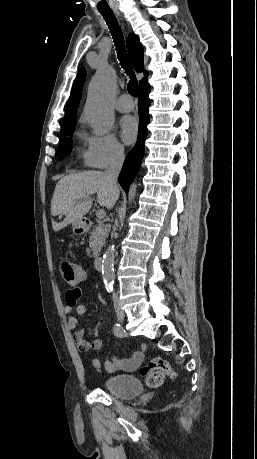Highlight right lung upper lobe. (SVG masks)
I'll return each mask as SVG.
<instances>
[{
	"instance_id": "obj_1",
	"label": "right lung upper lobe",
	"mask_w": 257,
	"mask_h": 459,
	"mask_svg": "<svg viewBox=\"0 0 257 459\" xmlns=\"http://www.w3.org/2000/svg\"><path fill=\"white\" fill-rule=\"evenodd\" d=\"M127 50L129 54L130 61L137 72H143L144 69V57H143V46L139 41V38L136 34L130 33L126 40ZM86 72L82 68L78 72L73 87L72 92L69 97V101L66 107V114L64 116V121L61 125V131L72 128L76 125V112L77 107L81 98L83 83L85 81ZM148 72L144 71V78L139 82V86L144 82H147Z\"/></svg>"
}]
</instances>
